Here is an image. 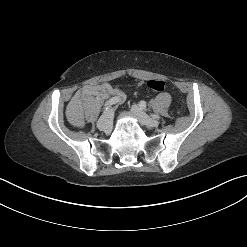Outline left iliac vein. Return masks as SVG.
<instances>
[{
    "label": "left iliac vein",
    "mask_w": 247,
    "mask_h": 247,
    "mask_svg": "<svg viewBox=\"0 0 247 247\" xmlns=\"http://www.w3.org/2000/svg\"><path fill=\"white\" fill-rule=\"evenodd\" d=\"M133 115L140 120V122L149 128L158 127L159 121L149 117L137 104H133L131 107Z\"/></svg>",
    "instance_id": "left-iliac-vein-1"
}]
</instances>
